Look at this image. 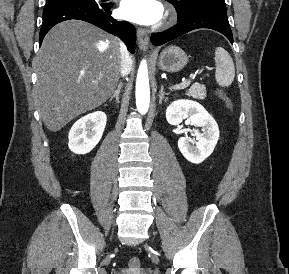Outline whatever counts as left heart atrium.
Segmentation results:
<instances>
[{
    "label": "left heart atrium",
    "mask_w": 289,
    "mask_h": 274,
    "mask_svg": "<svg viewBox=\"0 0 289 274\" xmlns=\"http://www.w3.org/2000/svg\"><path fill=\"white\" fill-rule=\"evenodd\" d=\"M120 15L129 21L150 25L162 16V6L157 0H121Z\"/></svg>",
    "instance_id": "39dd6f15"
}]
</instances>
